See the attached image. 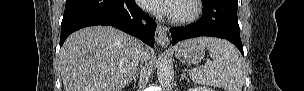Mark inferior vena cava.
Here are the masks:
<instances>
[{"label":"inferior vena cava","instance_id":"602c4592","mask_svg":"<svg viewBox=\"0 0 304 91\" xmlns=\"http://www.w3.org/2000/svg\"><path fill=\"white\" fill-rule=\"evenodd\" d=\"M141 55L143 57L142 60H141V62H142V61L146 60V58H145V49L143 48V46L141 48Z\"/></svg>","mask_w":304,"mask_h":91}]
</instances>
